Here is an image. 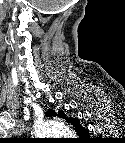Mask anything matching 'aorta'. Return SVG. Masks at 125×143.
Masks as SVG:
<instances>
[{
	"instance_id": "obj_1",
	"label": "aorta",
	"mask_w": 125,
	"mask_h": 143,
	"mask_svg": "<svg viewBox=\"0 0 125 143\" xmlns=\"http://www.w3.org/2000/svg\"><path fill=\"white\" fill-rule=\"evenodd\" d=\"M34 133L36 136L71 135L69 128L62 122L58 121H40L35 124Z\"/></svg>"
}]
</instances>
